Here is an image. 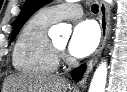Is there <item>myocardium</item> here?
<instances>
[{"instance_id": "f54148a6", "label": "myocardium", "mask_w": 127, "mask_h": 92, "mask_svg": "<svg viewBox=\"0 0 127 92\" xmlns=\"http://www.w3.org/2000/svg\"><path fill=\"white\" fill-rule=\"evenodd\" d=\"M53 49L55 50V52L57 53V55H60L63 52V48L59 47L57 44L52 43Z\"/></svg>"}]
</instances>
